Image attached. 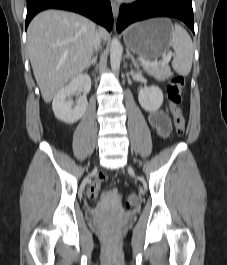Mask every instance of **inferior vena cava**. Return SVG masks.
<instances>
[{"label":"inferior vena cava","mask_w":227,"mask_h":265,"mask_svg":"<svg viewBox=\"0 0 227 265\" xmlns=\"http://www.w3.org/2000/svg\"><path fill=\"white\" fill-rule=\"evenodd\" d=\"M100 39H101V37H100L99 33L95 32L94 37H93V44H94V48L96 51L98 50V48L100 46Z\"/></svg>","instance_id":"1"}]
</instances>
